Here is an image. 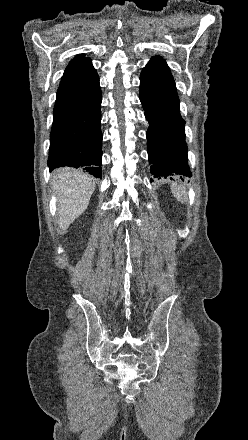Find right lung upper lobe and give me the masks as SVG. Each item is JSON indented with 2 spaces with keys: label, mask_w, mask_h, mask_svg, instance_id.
Masks as SVG:
<instances>
[{
  "label": "right lung upper lobe",
  "mask_w": 248,
  "mask_h": 440,
  "mask_svg": "<svg viewBox=\"0 0 248 440\" xmlns=\"http://www.w3.org/2000/svg\"><path fill=\"white\" fill-rule=\"evenodd\" d=\"M98 78L91 59L84 54L77 55L65 69L57 93L67 92L88 86Z\"/></svg>",
  "instance_id": "right-lung-upper-lobe-1"
}]
</instances>
